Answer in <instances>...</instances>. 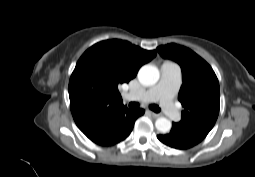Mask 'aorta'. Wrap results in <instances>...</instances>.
I'll use <instances>...</instances> for the list:
<instances>
[{"label":"aorta","mask_w":255,"mask_h":177,"mask_svg":"<svg viewBox=\"0 0 255 177\" xmlns=\"http://www.w3.org/2000/svg\"><path fill=\"white\" fill-rule=\"evenodd\" d=\"M160 74L159 70L156 66L147 64L140 68L138 72V79L140 83L146 86H152L156 84L159 80ZM171 122L170 120L160 117L155 121L156 129L161 133H167L171 129Z\"/></svg>","instance_id":"obj_1"}]
</instances>
